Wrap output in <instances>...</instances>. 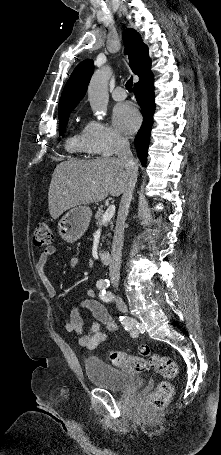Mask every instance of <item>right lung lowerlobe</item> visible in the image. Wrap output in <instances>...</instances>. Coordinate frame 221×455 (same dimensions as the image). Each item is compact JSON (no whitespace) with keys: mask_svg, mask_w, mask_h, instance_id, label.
Instances as JSON below:
<instances>
[{"mask_svg":"<svg viewBox=\"0 0 221 455\" xmlns=\"http://www.w3.org/2000/svg\"><path fill=\"white\" fill-rule=\"evenodd\" d=\"M151 63L134 85L136 100L142 109L143 123L135 137V145L139 159L143 166L147 162V149L150 142L153 114L155 110L153 75L150 70Z\"/></svg>","mask_w":221,"mask_h":455,"instance_id":"1","label":"right lung lower lobe"}]
</instances>
